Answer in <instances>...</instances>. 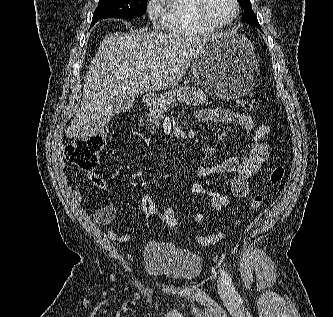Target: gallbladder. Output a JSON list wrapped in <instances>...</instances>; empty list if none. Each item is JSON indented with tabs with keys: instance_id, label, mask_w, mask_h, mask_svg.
I'll return each instance as SVG.
<instances>
[{
	"instance_id": "1",
	"label": "gallbladder",
	"mask_w": 333,
	"mask_h": 317,
	"mask_svg": "<svg viewBox=\"0 0 333 317\" xmlns=\"http://www.w3.org/2000/svg\"><path fill=\"white\" fill-rule=\"evenodd\" d=\"M135 102L134 97L130 96H116L112 101L111 105L115 113H124L130 110Z\"/></svg>"
}]
</instances>
